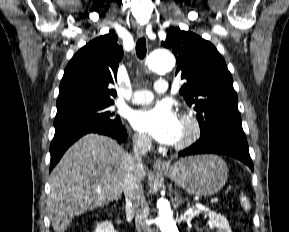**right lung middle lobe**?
<instances>
[{
  "label": "right lung middle lobe",
  "mask_w": 289,
  "mask_h": 232,
  "mask_svg": "<svg viewBox=\"0 0 289 232\" xmlns=\"http://www.w3.org/2000/svg\"><path fill=\"white\" fill-rule=\"evenodd\" d=\"M114 103H75L57 108L55 130L76 127H104L122 124L120 118L109 110Z\"/></svg>",
  "instance_id": "1"
}]
</instances>
